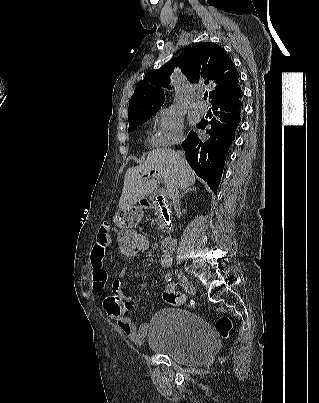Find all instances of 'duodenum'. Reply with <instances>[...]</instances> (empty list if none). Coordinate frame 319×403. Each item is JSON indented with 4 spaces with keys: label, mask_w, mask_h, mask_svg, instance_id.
<instances>
[{
    "label": "duodenum",
    "mask_w": 319,
    "mask_h": 403,
    "mask_svg": "<svg viewBox=\"0 0 319 403\" xmlns=\"http://www.w3.org/2000/svg\"><path fill=\"white\" fill-rule=\"evenodd\" d=\"M145 207L151 208L153 206H160L164 207L166 206L165 201L162 197H158L154 203L145 201L144 202ZM162 248L166 253H171L174 248H175V241L174 238L171 235H166L163 240H162Z\"/></svg>",
    "instance_id": "obj_1"
}]
</instances>
